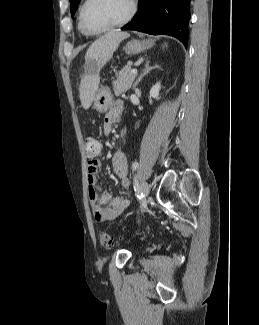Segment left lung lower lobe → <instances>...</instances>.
I'll use <instances>...</instances> for the list:
<instances>
[{
    "instance_id": "left-lung-lower-lobe-1",
    "label": "left lung lower lobe",
    "mask_w": 259,
    "mask_h": 325,
    "mask_svg": "<svg viewBox=\"0 0 259 325\" xmlns=\"http://www.w3.org/2000/svg\"><path fill=\"white\" fill-rule=\"evenodd\" d=\"M190 0H139L137 14L122 30L166 34L188 43Z\"/></svg>"
}]
</instances>
